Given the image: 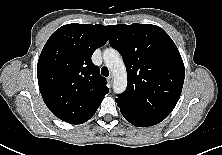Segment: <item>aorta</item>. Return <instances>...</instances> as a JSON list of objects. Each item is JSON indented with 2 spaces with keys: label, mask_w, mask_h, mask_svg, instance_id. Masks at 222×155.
<instances>
[{
  "label": "aorta",
  "mask_w": 222,
  "mask_h": 155,
  "mask_svg": "<svg viewBox=\"0 0 222 155\" xmlns=\"http://www.w3.org/2000/svg\"><path fill=\"white\" fill-rule=\"evenodd\" d=\"M103 59L114 77L113 91L123 93L127 87V71L122 57L115 49L107 48L103 52Z\"/></svg>",
  "instance_id": "aorta-1"
}]
</instances>
